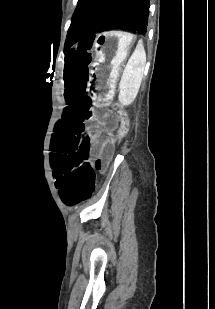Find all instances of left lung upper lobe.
Returning <instances> with one entry per match:
<instances>
[{"instance_id": "obj_1", "label": "left lung upper lobe", "mask_w": 215, "mask_h": 309, "mask_svg": "<svg viewBox=\"0 0 215 309\" xmlns=\"http://www.w3.org/2000/svg\"><path fill=\"white\" fill-rule=\"evenodd\" d=\"M150 0H79L68 30L65 47L111 29L145 34Z\"/></svg>"}]
</instances>
